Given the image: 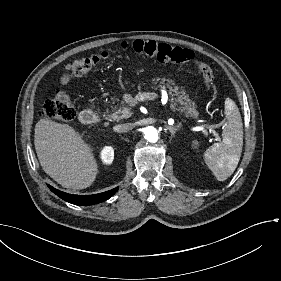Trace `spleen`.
Masks as SVG:
<instances>
[{
	"instance_id": "spleen-1",
	"label": "spleen",
	"mask_w": 281,
	"mask_h": 281,
	"mask_svg": "<svg viewBox=\"0 0 281 281\" xmlns=\"http://www.w3.org/2000/svg\"><path fill=\"white\" fill-rule=\"evenodd\" d=\"M227 123L220 144H214L203 154L205 166L217 181H225L235 171L243 146V124L238 107L230 98L224 103Z\"/></svg>"
}]
</instances>
